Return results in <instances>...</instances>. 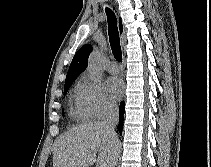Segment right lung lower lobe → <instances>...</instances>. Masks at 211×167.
Listing matches in <instances>:
<instances>
[{"instance_id": "obj_1", "label": "right lung lower lobe", "mask_w": 211, "mask_h": 167, "mask_svg": "<svg viewBox=\"0 0 211 167\" xmlns=\"http://www.w3.org/2000/svg\"><path fill=\"white\" fill-rule=\"evenodd\" d=\"M119 115H120V122H119L118 130L121 132L122 125H123V115H124V103L123 102L120 103Z\"/></svg>"}]
</instances>
